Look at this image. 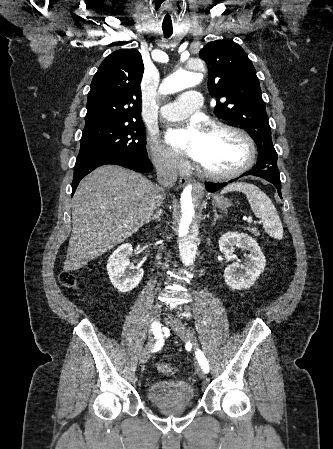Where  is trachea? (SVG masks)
<instances>
[{"label":"trachea","mask_w":333,"mask_h":449,"mask_svg":"<svg viewBox=\"0 0 333 449\" xmlns=\"http://www.w3.org/2000/svg\"><path fill=\"white\" fill-rule=\"evenodd\" d=\"M162 30H163L164 36H165L166 38H167V37H170V36L172 35V33H173V28H172V26H171V27H163Z\"/></svg>","instance_id":"1"}]
</instances>
